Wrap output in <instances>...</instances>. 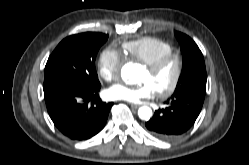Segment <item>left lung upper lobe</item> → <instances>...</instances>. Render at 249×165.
<instances>
[{"label": "left lung upper lobe", "instance_id": "obj_1", "mask_svg": "<svg viewBox=\"0 0 249 165\" xmlns=\"http://www.w3.org/2000/svg\"><path fill=\"white\" fill-rule=\"evenodd\" d=\"M175 36L181 44L183 67L174 94L193 88L205 91L206 68L200 49L189 36L177 31Z\"/></svg>", "mask_w": 249, "mask_h": 165}]
</instances>
